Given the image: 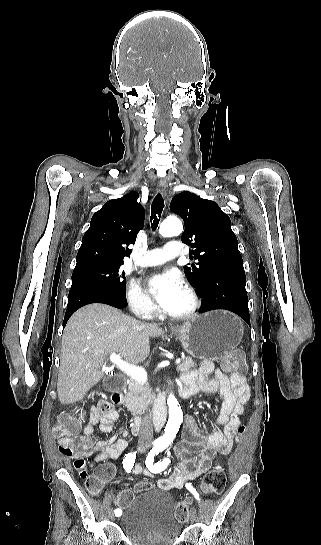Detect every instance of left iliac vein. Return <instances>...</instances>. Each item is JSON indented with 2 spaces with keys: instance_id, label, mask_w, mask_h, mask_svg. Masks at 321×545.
Wrapping results in <instances>:
<instances>
[{
  "instance_id": "left-iliac-vein-1",
  "label": "left iliac vein",
  "mask_w": 321,
  "mask_h": 545,
  "mask_svg": "<svg viewBox=\"0 0 321 545\" xmlns=\"http://www.w3.org/2000/svg\"><path fill=\"white\" fill-rule=\"evenodd\" d=\"M197 519V510L196 508H192L191 514H190V522L194 523Z\"/></svg>"
}]
</instances>
